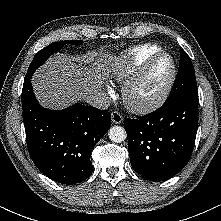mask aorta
Returning a JSON list of instances; mask_svg holds the SVG:
<instances>
[{
  "label": "aorta",
  "instance_id": "1",
  "mask_svg": "<svg viewBox=\"0 0 221 221\" xmlns=\"http://www.w3.org/2000/svg\"><path fill=\"white\" fill-rule=\"evenodd\" d=\"M109 138L115 143H121L126 139V131L121 126H113L109 130Z\"/></svg>",
  "mask_w": 221,
  "mask_h": 221
}]
</instances>
